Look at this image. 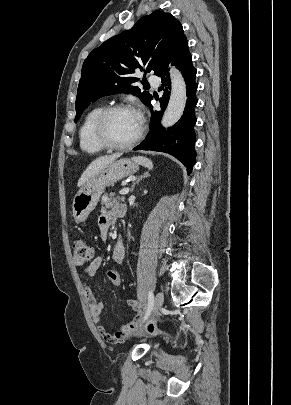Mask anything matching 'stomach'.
<instances>
[{
  "mask_svg": "<svg viewBox=\"0 0 291 405\" xmlns=\"http://www.w3.org/2000/svg\"><path fill=\"white\" fill-rule=\"evenodd\" d=\"M138 163L133 159H120L109 163L80 188L73 199V218L75 222H83L96 207L107 186L136 173Z\"/></svg>",
  "mask_w": 291,
  "mask_h": 405,
  "instance_id": "1",
  "label": "stomach"
}]
</instances>
